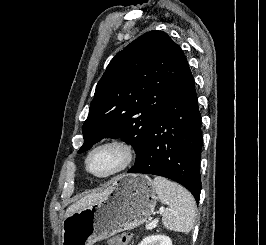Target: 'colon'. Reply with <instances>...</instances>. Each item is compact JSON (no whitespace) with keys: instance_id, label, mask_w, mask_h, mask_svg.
<instances>
[{"instance_id":"1","label":"colon","mask_w":266,"mask_h":245,"mask_svg":"<svg viewBox=\"0 0 266 245\" xmlns=\"http://www.w3.org/2000/svg\"><path fill=\"white\" fill-rule=\"evenodd\" d=\"M130 237V233H122L116 238V245H126L128 239Z\"/></svg>"}]
</instances>
